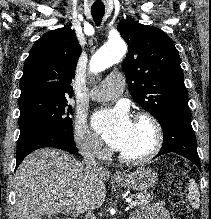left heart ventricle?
Instances as JSON below:
<instances>
[{"instance_id": "b2bd125f", "label": "left heart ventricle", "mask_w": 211, "mask_h": 219, "mask_svg": "<svg viewBox=\"0 0 211 219\" xmlns=\"http://www.w3.org/2000/svg\"><path fill=\"white\" fill-rule=\"evenodd\" d=\"M152 142L153 132L151 127L145 122L135 121L133 134L121 152L128 156H139L151 147Z\"/></svg>"}]
</instances>
